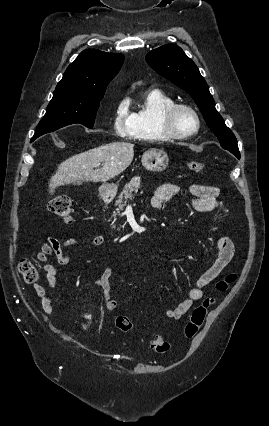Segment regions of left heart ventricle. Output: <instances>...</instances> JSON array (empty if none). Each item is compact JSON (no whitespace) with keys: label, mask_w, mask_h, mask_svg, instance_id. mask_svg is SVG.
Returning <instances> with one entry per match:
<instances>
[{"label":"left heart ventricle","mask_w":269,"mask_h":426,"mask_svg":"<svg viewBox=\"0 0 269 426\" xmlns=\"http://www.w3.org/2000/svg\"><path fill=\"white\" fill-rule=\"evenodd\" d=\"M175 126L180 131H190L195 128V119L187 111L181 110L177 113L175 120Z\"/></svg>","instance_id":"left-heart-ventricle-1"}]
</instances>
